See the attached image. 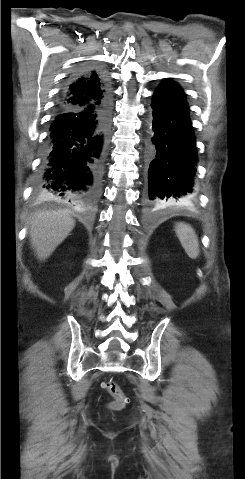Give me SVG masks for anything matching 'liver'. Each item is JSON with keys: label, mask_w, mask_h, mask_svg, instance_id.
<instances>
[{"label": "liver", "mask_w": 245, "mask_h": 479, "mask_svg": "<svg viewBox=\"0 0 245 479\" xmlns=\"http://www.w3.org/2000/svg\"><path fill=\"white\" fill-rule=\"evenodd\" d=\"M75 226V220L67 211L36 213L29 227L30 243L39 260H46Z\"/></svg>", "instance_id": "obj_1"}]
</instances>
